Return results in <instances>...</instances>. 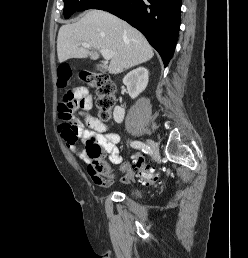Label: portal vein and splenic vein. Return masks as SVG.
Instances as JSON below:
<instances>
[{
  "label": "portal vein and splenic vein",
  "instance_id": "1",
  "mask_svg": "<svg viewBox=\"0 0 248 258\" xmlns=\"http://www.w3.org/2000/svg\"><path fill=\"white\" fill-rule=\"evenodd\" d=\"M80 46L84 47V48H90L91 45L88 43H80ZM100 53L102 54V56L104 57L105 60H110L113 57L112 52L108 51V50H100Z\"/></svg>",
  "mask_w": 248,
  "mask_h": 258
}]
</instances>
